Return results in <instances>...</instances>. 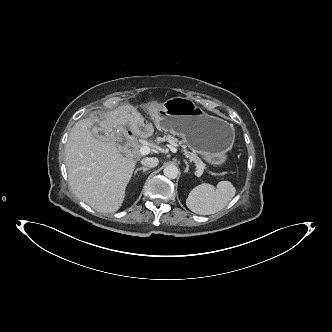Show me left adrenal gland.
Here are the masks:
<instances>
[{"mask_svg": "<svg viewBox=\"0 0 332 332\" xmlns=\"http://www.w3.org/2000/svg\"><path fill=\"white\" fill-rule=\"evenodd\" d=\"M185 162V165H186V169H185V173H188V170H189V164L186 160H184Z\"/></svg>", "mask_w": 332, "mask_h": 332, "instance_id": "a2214340", "label": "left adrenal gland"}]
</instances>
